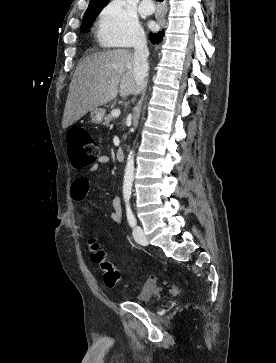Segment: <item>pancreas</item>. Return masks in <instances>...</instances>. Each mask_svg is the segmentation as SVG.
<instances>
[{
	"label": "pancreas",
	"instance_id": "pancreas-1",
	"mask_svg": "<svg viewBox=\"0 0 276 363\" xmlns=\"http://www.w3.org/2000/svg\"><path fill=\"white\" fill-rule=\"evenodd\" d=\"M113 119V115L112 113H109L106 117H105V121H104V125L108 126L110 121Z\"/></svg>",
	"mask_w": 276,
	"mask_h": 363
}]
</instances>
